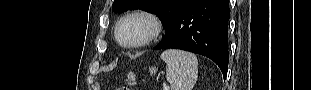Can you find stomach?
<instances>
[{"label":"stomach","instance_id":"0dacf381","mask_svg":"<svg viewBox=\"0 0 311 90\" xmlns=\"http://www.w3.org/2000/svg\"><path fill=\"white\" fill-rule=\"evenodd\" d=\"M149 72H150L151 75H153V74L155 75L156 72H157V69L155 67H151V68H149ZM128 81L129 82H134L135 81V75L133 73H130L128 75Z\"/></svg>","mask_w":311,"mask_h":90}]
</instances>
